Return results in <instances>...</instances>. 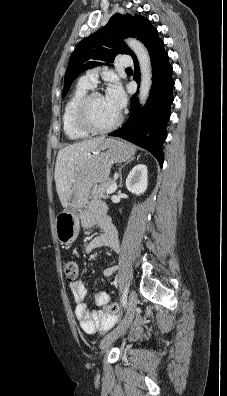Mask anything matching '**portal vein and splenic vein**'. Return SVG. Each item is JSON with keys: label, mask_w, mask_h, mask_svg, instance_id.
<instances>
[{"label": "portal vein and splenic vein", "mask_w": 227, "mask_h": 396, "mask_svg": "<svg viewBox=\"0 0 227 396\" xmlns=\"http://www.w3.org/2000/svg\"><path fill=\"white\" fill-rule=\"evenodd\" d=\"M117 189V185L116 183H114L113 185H111V187L107 190V194H111L113 192H115Z\"/></svg>", "instance_id": "18ae733b"}]
</instances>
